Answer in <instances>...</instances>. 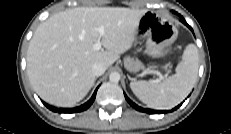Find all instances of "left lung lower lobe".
<instances>
[{"mask_svg":"<svg viewBox=\"0 0 231 134\" xmlns=\"http://www.w3.org/2000/svg\"><path fill=\"white\" fill-rule=\"evenodd\" d=\"M181 22H183L186 26H188L192 30V28L186 23V21L183 18L181 19ZM124 96H125L126 100L128 101V103L138 111L146 112L149 114H160V113H167L168 112L167 110H151V109H145V108L139 107L138 105L133 103L125 94H124ZM179 106L175 107L173 110H176ZM173 110H171V111H173ZM171 111H169V112H171Z\"/></svg>","mask_w":231,"mask_h":134,"instance_id":"left-lung-lower-lobe-1","label":"left lung lower lobe"}]
</instances>
